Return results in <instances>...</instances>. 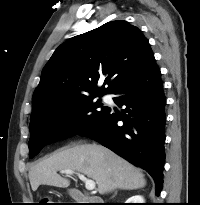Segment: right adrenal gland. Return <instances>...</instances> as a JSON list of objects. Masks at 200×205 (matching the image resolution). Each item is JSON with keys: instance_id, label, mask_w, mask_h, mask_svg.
Instances as JSON below:
<instances>
[{"instance_id": "1", "label": "right adrenal gland", "mask_w": 200, "mask_h": 205, "mask_svg": "<svg viewBox=\"0 0 200 205\" xmlns=\"http://www.w3.org/2000/svg\"><path fill=\"white\" fill-rule=\"evenodd\" d=\"M117 194V191L114 193V195L112 196V198Z\"/></svg>"}]
</instances>
